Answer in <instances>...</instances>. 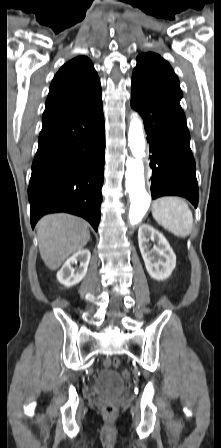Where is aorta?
I'll return each mask as SVG.
<instances>
[{"label":"aorta","mask_w":221,"mask_h":448,"mask_svg":"<svg viewBox=\"0 0 221 448\" xmlns=\"http://www.w3.org/2000/svg\"><path fill=\"white\" fill-rule=\"evenodd\" d=\"M128 142L135 159L126 162L125 188L131 201L129 220L131 224H136L144 217L151 201L150 195L145 190L144 166L141 160L145 155L146 142L143 124L137 114L130 123Z\"/></svg>","instance_id":"obj_1"}]
</instances>
